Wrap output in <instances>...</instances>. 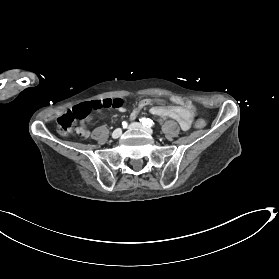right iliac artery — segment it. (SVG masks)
<instances>
[{
	"label": "right iliac artery",
	"instance_id": "obj_1",
	"mask_svg": "<svg viewBox=\"0 0 279 279\" xmlns=\"http://www.w3.org/2000/svg\"><path fill=\"white\" fill-rule=\"evenodd\" d=\"M122 126H123V128H126L127 127V122H122Z\"/></svg>",
	"mask_w": 279,
	"mask_h": 279
}]
</instances>
